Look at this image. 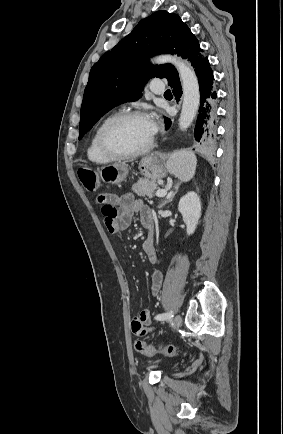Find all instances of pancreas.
Listing matches in <instances>:
<instances>
[{
    "mask_svg": "<svg viewBox=\"0 0 283 434\" xmlns=\"http://www.w3.org/2000/svg\"><path fill=\"white\" fill-rule=\"evenodd\" d=\"M158 184L155 181H150L146 178H140L136 184L132 186L133 192L139 196L153 197L154 192L158 189Z\"/></svg>",
    "mask_w": 283,
    "mask_h": 434,
    "instance_id": "cf45deb5",
    "label": "pancreas"
}]
</instances>
